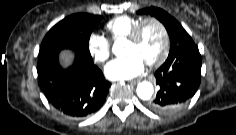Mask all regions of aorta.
Segmentation results:
<instances>
[{"instance_id":"1","label":"aorta","mask_w":236,"mask_h":135,"mask_svg":"<svg viewBox=\"0 0 236 135\" xmlns=\"http://www.w3.org/2000/svg\"><path fill=\"white\" fill-rule=\"evenodd\" d=\"M119 44L115 43L113 45V52L116 53V49L118 48ZM137 95L140 99L142 100H149L154 92V87L152 83L143 81L138 84L137 89H136Z\"/></svg>"}]
</instances>
